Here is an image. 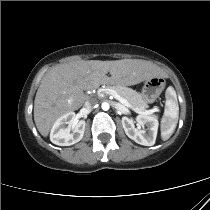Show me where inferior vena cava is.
<instances>
[{"mask_svg": "<svg viewBox=\"0 0 210 210\" xmlns=\"http://www.w3.org/2000/svg\"><path fill=\"white\" fill-rule=\"evenodd\" d=\"M97 104V100L96 99H90V100H87L84 104V108L88 111H90L93 106H95Z\"/></svg>", "mask_w": 210, "mask_h": 210, "instance_id": "inferior-vena-cava-1", "label": "inferior vena cava"}]
</instances>
